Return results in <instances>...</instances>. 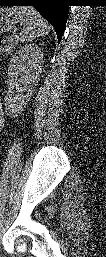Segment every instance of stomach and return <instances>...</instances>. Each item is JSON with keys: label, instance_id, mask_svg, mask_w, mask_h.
Wrapping results in <instances>:
<instances>
[{"label": "stomach", "instance_id": "0dacf381", "mask_svg": "<svg viewBox=\"0 0 106 257\" xmlns=\"http://www.w3.org/2000/svg\"><path fill=\"white\" fill-rule=\"evenodd\" d=\"M0 32L10 31L19 21L16 8L3 7L0 9Z\"/></svg>", "mask_w": 106, "mask_h": 257}]
</instances>
